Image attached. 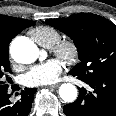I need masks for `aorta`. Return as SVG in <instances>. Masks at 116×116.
Masks as SVG:
<instances>
[{"instance_id": "obj_1", "label": "aorta", "mask_w": 116, "mask_h": 116, "mask_svg": "<svg viewBox=\"0 0 116 116\" xmlns=\"http://www.w3.org/2000/svg\"><path fill=\"white\" fill-rule=\"evenodd\" d=\"M12 58L21 64H30L36 61L43 52L27 37L14 39L10 46ZM77 89L71 83H64L59 88L61 99L67 103L74 102L77 98Z\"/></svg>"}]
</instances>
